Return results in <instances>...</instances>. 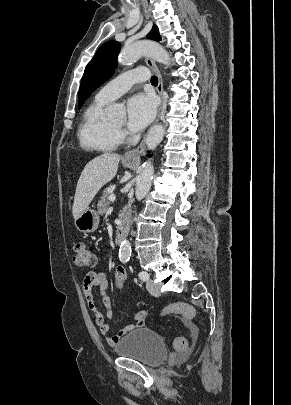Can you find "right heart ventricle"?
I'll list each match as a JSON object with an SVG mask.
<instances>
[{"label": "right heart ventricle", "instance_id": "e07e8e85", "mask_svg": "<svg viewBox=\"0 0 291 405\" xmlns=\"http://www.w3.org/2000/svg\"><path fill=\"white\" fill-rule=\"evenodd\" d=\"M108 101L97 97L85 109L78 129L83 148L96 152H110L119 145V136L113 125L104 118Z\"/></svg>", "mask_w": 291, "mask_h": 405}]
</instances>
